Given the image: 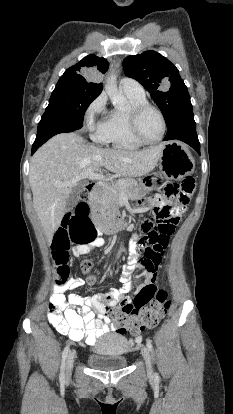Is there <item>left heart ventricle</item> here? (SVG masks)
<instances>
[{
    "mask_svg": "<svg viewBox=\"0 0 233 414\" xmlns=\"http://www.w3.org/2000/svg\"><path fill=\"white\" fill-rule=\"evenodd\" d=\"M139 129L146 139H157L162 132V121L159 114L152 109L145 111L140 116Z\"/></svg>",
    "mask_w": 233,
    "mask_h": 414,
    "instance_id": "1",
    "label": "left heart ventricle"
}]
</instances>
